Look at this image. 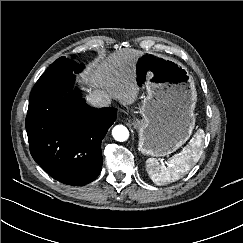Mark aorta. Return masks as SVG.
Returning <instances> with one entry per match:
<instances>
[{"mask_svg":"<svg viewBox=\"0 0 243 243\" xmlns=\"http://www.w3.org/2000/svg\"><path fill=\"white\" fill-rule=\"evenodd\" d=\"M112 135L116 141L124 142L129 138V131L125 126L117 125L113 128Z\"/></svg>","mask_w":243,"mask_h":243,"instance_id":"762f6f07","label":"aorta"}]
</instances>
